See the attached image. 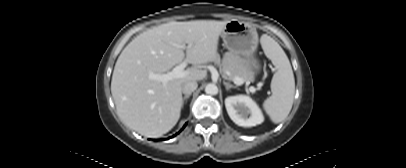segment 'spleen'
<instances>
[{
  "mask_svg": "<svg viewBox=\"0 0 406 168\" xmlns=\"http://www.w3.org/2000/svg\"><path fill=\"white\" fill-rule=\"evenodd\" d=\"M262 48L277 71L271 80L272 95L263 103V108L272 122H282L290 113L294 101L295 79L290 61L281 46L270 36L261 38Z\"/></svg>",
  "mask_w": 406,
  "mask_h": 168,
  "instance_id": "obj_1",
  "label": "spleen"
}]
</instances>
